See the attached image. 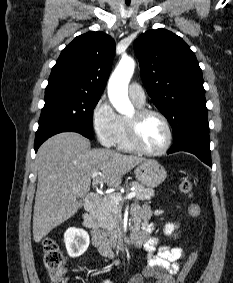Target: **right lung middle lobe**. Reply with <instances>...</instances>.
Masks as SVG:
<instances>
[{"mask_svg":"<svg viewBox=\"0 0 233 283\" xmlns=\"http://www.w3.org/2000/svg\"><path fill=\"white\" fill-rule=\"evenodd\" d=\"M100 97L101 94L73 88L47 86L38 129L53 124H70L92 132L93 109Z\"/></svg>","mask_w":233,"mask_h":283,"instance_id":"right-lung-middle-lobe-1","label":"right lung middle lobe"}]
</instances>
